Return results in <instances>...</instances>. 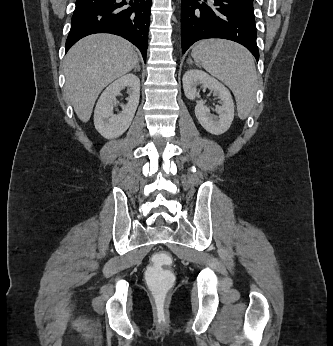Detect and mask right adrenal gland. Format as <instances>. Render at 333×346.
<instances>
[{
	"mask_svg": "<svg viewBox=\"0 0 333 346\" xmlns=\"http://www.w3.org/2000/svg\"><path fill=\"white\" fill-rule=\"evenodd\" d=\"M134 71H135V72H136V71H140V65H139V63L136 65Z\"/></svg>",
	"mask_w": 333,
	"mask_h": 346,
	"instance_id": "1",
	"label": "right adrenal gland"
}]
</instances>
